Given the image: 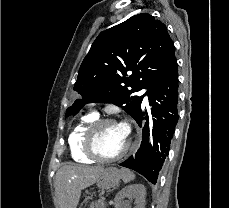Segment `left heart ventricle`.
Segmentation results:
<instances>
[{
	"label": "left heart ventricle",
	"instance_id": "1",
	"mask_svg": "<svg viewBox=\"0 0 229 208\" xmlns=\"http://www.w3.org/2000/svg\"><path fill=\"white\" fill-rule=\"evenodd\" d=\"M127 142L128 137L119 125L106 124L101 128L98 139H94V152H100V157H116Z\"/></svg>",
	"mask_w": 229,
	"mask_h": 208
}]
</instances>
